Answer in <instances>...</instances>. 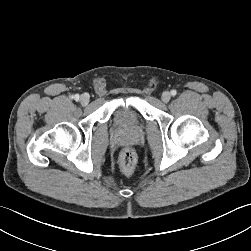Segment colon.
<instances>
[{
  "label": "colon",
  "instance_id": "1",
  "mask_svg": "<svg viewBox=\"0 0 251 251\" xmlns=\"http://www.w3.org/2000/svg\"><path fill=\"white\" fill-rule=\"evenodd\" d=\"M119 165L126 176L132 175L136 165V154L132 149H124L119 157Z\"/></svg>",
  "mask_w": 251,
  "mask_h": 251
}]
</instances>
